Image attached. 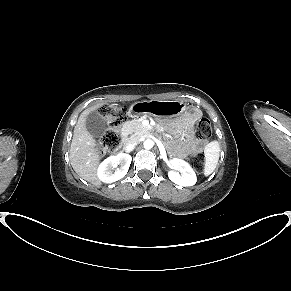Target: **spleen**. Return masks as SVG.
<instances>
[{"label":"spleen","mask_w":291,"mask_h":291,"mask_svg":"<svg viewBox=\"0 0 291 291\" xmlns=\"http://www.w3.org/2000/svg\"><path fill=\"white\" fill-rule=\"evenodd\" d=\"M205 153V168L204 175H210L216 168L219 155H220V145L218 141H212L208 143L204 150Z\"/></svg>","instance_id":"obj_1"}]
</instances>
